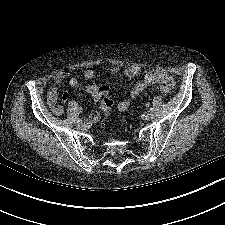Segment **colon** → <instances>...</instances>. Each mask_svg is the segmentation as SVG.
Listing matches in <instances>:
<instances>
[{
	"label": "colon",
	"instance_id": "1",
	"mask_svg": "<svg viewBox=\"0 0 225 225\" xmlns=\"http://www.w3.org/2000/svg\"><path fill=\"white\" fill-rule=\"evenodd\" d=\"M160 90H161V92H162L164 95H169V94L171 93V89H170V87L167 86V85H162V86L160 87ZM111 105H112V103H111V101H110L108 98H106V99L103 100L102 106H103V110H104V114H105V115H108V114H109ZM98 121H99V120H98ZM98 121H97V122H98Z\"/></svg>",
	"mask_w": 225,
	"mask_h": 225
}]
</instances>
